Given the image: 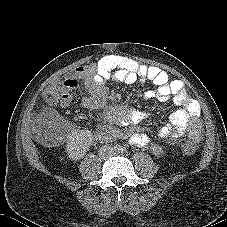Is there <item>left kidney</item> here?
<instances>
[{"instance_id":"obj_1","label":"left kidney","mask_w":227,"mask_h":227,"mask_svg":"<svg viewBox=\"0 0 227 227\" xmlns=\"http://www.w3.org/2000/svg\"><path fill=\"white\" fill-rule=\"evenodd\" d=\"M152 150H153V152H154L155 155L163 154L162 148L159 147V146H154V147L152 148Z\"/></svg>"}]
</instances>
